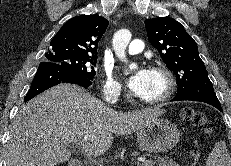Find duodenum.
I'll return each mask as SVG.
<instances>
[{"label": "duodenum", "instance_id": "1", "mask_svg": "<svg viewBox=\"0 0 231 166\" xmlns=\"http://www.w3.org/2000/svg\"><path fill=\"white\" fill-rule=\"evenodd\" d=\"M74 166H81L80 164H75Z\"/></svg>", "mask_w": 231, "mask_h": 166}]
</instances>
